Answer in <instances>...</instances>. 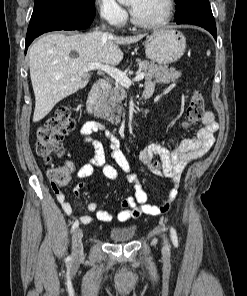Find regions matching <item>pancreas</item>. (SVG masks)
I'll list each match as a JSON object with an SVG mask.
<instances>
[{
    "instance_id": "cf45deb5",
    "label": "pancreas",
    "mask_w": 247,
    "mask_h": 296,
    "mask_svg": "<svg viewBox=\"0 0 247 296\" xmlns=\"http://www.w3.org/2000/svg\"><path fill=\"white\" fill-rule=\"evenodd\" d=\"M139 71L145 73L146 79H155L158 83L176 82L181 76V72L175 68H168V66L157 65L147 60H137ZM126 98V91L124 87L115 83L106 95H104L100 102V116L107 119L112 124H119L121 121V114L123 111L122 101Z\"/></svg>"
}]
</instances>
